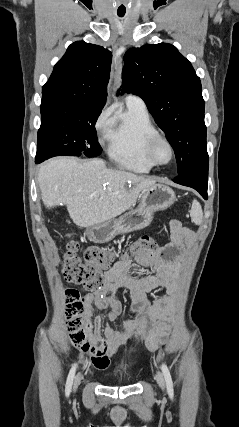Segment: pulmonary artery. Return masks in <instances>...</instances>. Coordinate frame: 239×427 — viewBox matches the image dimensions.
<instances>
[{
	"mask_svg": "<svg viewBox=\"0 0 239 427\" xmlns=\"http://www.w3.org/2000/svg\"><path fill=\"white\" fill-rule=\"evenodd\" d=\"M126 103H127V105H133V106L146 108L144 101L140 97H138L137 95H134V94H129L126 96Z\"/></svg>",
	"mask_w": 239,
	"mask_h": 427,
	"instance_id": "pulmonary-artery-1",
	"label": "pulmonary artery"
}]
</instances>
